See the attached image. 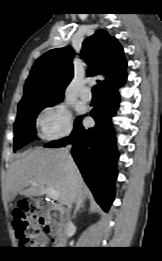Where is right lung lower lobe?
<instances>
[{
	"mask_svg": "<svg viewBox=\"0 0 162 261\" xmlns=\"http://www.w3.org/2000/svg\"><path fill=\"white\" fill-rule=\"evenodd\" d=\"M118 88L101 93L100 102L90 113L96 121L95 127L85 129L81 124L83 116H80L69 137L44 145L58 148L67 143L73 144L72 156L96 201L105 211L113 202L117 177L116 160L119 154L111 118L115 116L120 102Z\"/></svg>",
	"mask_w": 162,
	"mask_h": 261,
	"instance_id": "obj_1",
	"label": "right lung lower lobe"
}]
</instances>
